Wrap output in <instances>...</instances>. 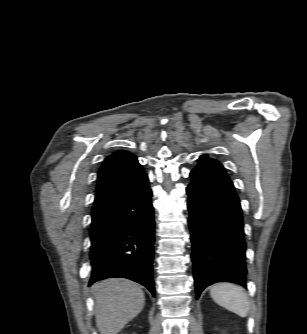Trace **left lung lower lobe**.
<instances>
[{"label":"left lung lower lobe","instance_id":"left-lung-lower-lobe-1","mask_svg":"<svg viewBox=\"0 0 307 334\" xmlns=\"http://www.w3.org/2000/svg\"><path fill=\"white\" fill-rule=\"evenodd\" d=\"M189 227L196 298L215 282L246 287L244 225L240 201L223 166L200 158L190 173Z\"/></svg>","mask_w":307,"mask_h":334}]
</instances>
